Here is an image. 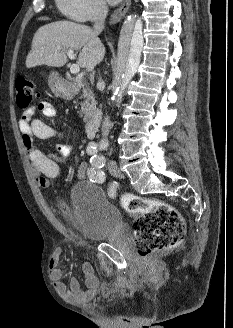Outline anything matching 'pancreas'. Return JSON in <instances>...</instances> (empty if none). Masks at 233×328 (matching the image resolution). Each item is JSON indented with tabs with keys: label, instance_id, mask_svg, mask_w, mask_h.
<instances>
[{
	"label": "pancreas",
	"instance_id": "cf45deb5",
	"mask_svg": "<svg viewBox=\"0 0 233 328\" xmlns=\"http://www.w3.org/2000/svg\"><path fill=\"white\" fill-rule=\"evenodd\" d=\"M80 89L82 88V95L79 97L81 99V112L84 116V122H88L96 113V101L93 92L89 88L88 84L80 83Z\"/></svg>",
	"mask_w": 233,
	"mask_h": 328
}]
</instances>
